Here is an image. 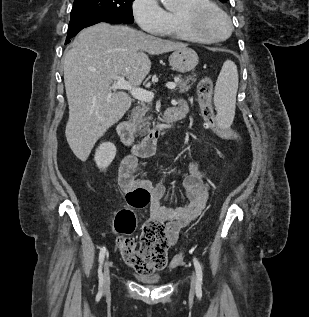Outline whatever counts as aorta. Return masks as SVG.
<instances>
[{
  "label": "aorta",
  "mask_w": 309,
  "mask_h": 317,
  "mask_svg": "<svg viewBox=\"0 0 309 317\" xmlns=\"http://www.w3.org/2000/svg\"><path fill=\"white\" fill-rule=\"evenodd\" d=\"M166 9H171L176 0H160Z\"/></svg>",
  "instance_id": "obj_1"
}]
</instances>
